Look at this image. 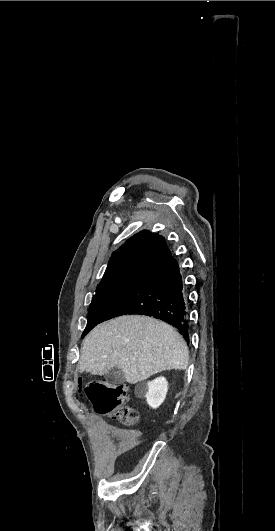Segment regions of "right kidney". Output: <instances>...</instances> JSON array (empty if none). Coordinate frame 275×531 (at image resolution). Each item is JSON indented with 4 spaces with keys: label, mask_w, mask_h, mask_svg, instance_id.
Returning <instances> with one entry per match:
<instances>
[{
    "label": "right kidney",
    "mask_w": 275,
    "mask_h": 531,
    "mask_svg": "<svg viewBox=\"0 0 275 531\" xmlns=\"http://www.w3.org/2000/svg\"><path fill=\"white\" fill-rule=\"evenodd\" d=\"M168 383L165 377H157L154 381L148 383H139L135 387L137 397H145L149 407L158 409L166 399Z\"/></svg>",
    "instance_id": "ca27d5eb"
}]
</instances>
